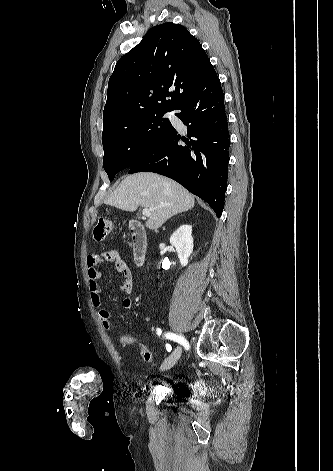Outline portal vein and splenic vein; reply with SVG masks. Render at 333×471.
Returning <instances> with one entry per match:
<instances>
[{"label":"portal vein and splenic vein","mask_w":333,"mask_h":471,"mask_svg":"<svg viewBox=\"0 0 333 471\" xmlns=\"http://www.w3.org/2000/svg\"><path fill=\"white\" fill-rule=\"evenodd\" d=\"M151 212H152V209H149V208H144V209L142 210L143 216H150V215H151Z\"/></svg>","instance_id":"portal-vein-and-splenic-vein-1"}]
</instances>
